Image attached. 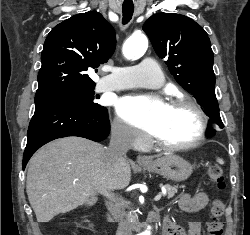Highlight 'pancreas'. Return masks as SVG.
Returning <instances> with one entry per match:
<instances>
[{
	"label": "pancreas",
	"mask_w": 250,
	"mask_h": 235,
	"mask_svg": "<svg viewBox=\"0 0 250 235\" xmlns=\"http://www.w3.org/2000/svg\"><path fill=\"white\" fill-rule=\"evenodd\" d=\"M166 191H167V197L168 199L174 197L175 193L178 192V186H170V185H165L164 186ZM127 217L129 220H133L136 218V214L134 213V211H131L127 214Z\"/></svg>",
	"instance_id": "obj_1"
}]
</instances>
